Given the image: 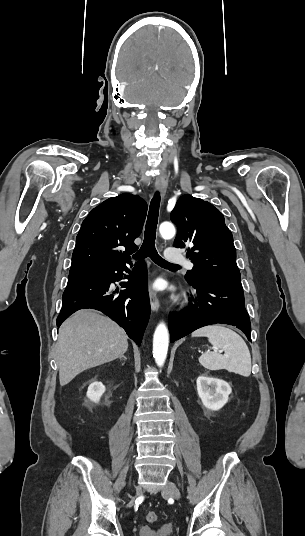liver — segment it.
Returning <instances> with one entry per match:
<instances>
[{
    "label": "liver",
    "mask_w": 305,
    "mask_h": 536,
    "mask_svg": "<svg viewBox=\"0 0 305 536\" xmlns=\"http://www.w3.org/2000/svg\"><path fill=\"white\" fill-rule=\"evenodd\" d=\"M127 336L115 322L94 310H79L62 324L57 344L60 386L84 370L113 362L127 352Z\"/></svg>",
    "instance_id": "6515ba94"
}]
</instances>
